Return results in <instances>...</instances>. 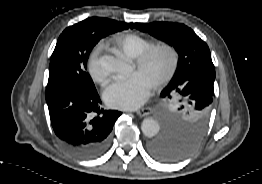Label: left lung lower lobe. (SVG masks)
Segmentation results:
<instances>
[{
	"label": "left lung lower lobe",
	"instance_id": "1",
	"mask_svg": "<svg viewBox=\"0 0 262 184\" xmlns=\"http://www.w3.org/2000/svg\"><path fill=\"white\" fill-rule=\"evenodd\" d=\"M192 151L188 145L173 141L164 134L152 141L148 146V152L157 160L171 162L178 160Z\"/></svg>",
	"mask_w": 262,
	"mask_h": 184
}]
</instances>
